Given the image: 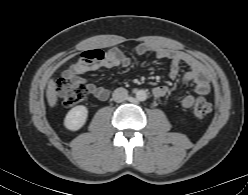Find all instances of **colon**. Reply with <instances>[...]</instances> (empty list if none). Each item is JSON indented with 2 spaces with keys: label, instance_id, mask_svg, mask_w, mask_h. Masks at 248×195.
<instances>
[{
  "label": "colon",
  "instance_id": "colon-1",
  "mask_svg": "<svg viewBox=\"0 0 248 195\" xmlns=\"http://www.w3.org/2000/svg\"><path fill=\"white\" fill-rule=\"evenodd\" d=\"M54 87L63 103L69 107L77 105L88 95V90L82 82L71 81L67 78H59L56 80ZM211 110V103L205 98L199 97L195 100L193 106V114L195 117L203 118L207 116Z\"/></svg>",
  "mask_w": 248,
  "mask_h": 195
}]
</instances>
